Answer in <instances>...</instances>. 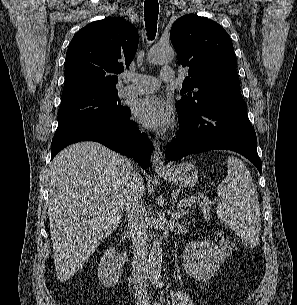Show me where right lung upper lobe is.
Listing matches in <instances>:
<instances>
[{"instance_id": "obj_1", "label": "right lung upper lobe", "mask_w": 297, "mask_h": 305, "mask_svg": "<svg viewBox=\"0 0 297 305\" xmlns=\"http://www.w3.org/2000/svg\"><path fill=\"white\" fill-rule=\"evenodd\" d=\"M137 29L122 18L95 21L71 40L61 101L94 92L117 91L118 76L132 62Z\"/></svg>"}]
</instances>
